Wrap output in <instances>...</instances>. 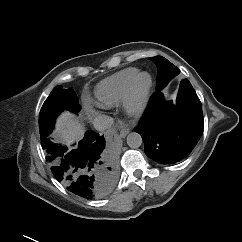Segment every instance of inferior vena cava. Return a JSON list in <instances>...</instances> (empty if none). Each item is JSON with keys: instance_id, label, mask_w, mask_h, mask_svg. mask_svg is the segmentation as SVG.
I'll list each match as a JSON object with an SVG mask.
<instances>
[{"instance_id": "inferior-vena-cava-1", "label": "inferior vena cava", "mask_w": 242, "mask_h": 242, "mask_svg": "<svg viewBox=\"0 0 242 242\" xmlns=\"http://www.w3.org/2000/svg\"><path fill=\"white\" fill-rule=\"evenodd\" d=\"M113 123V118L104 114L98 115L93 121L94 128L98 131H104L110 128Z\"/></svg>"}]
</instances>
